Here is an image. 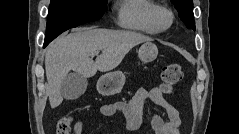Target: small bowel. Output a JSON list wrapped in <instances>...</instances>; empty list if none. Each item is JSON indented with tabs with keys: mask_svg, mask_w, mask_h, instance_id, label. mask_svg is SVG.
Returning a JSON list of instances; mask_svg holds the SVG:
<instances>
[{
	"mask_svg": "<svg viewBox=\"0 0 239 134\" xmlns=\"http://www.w3.org/2000/svg\"><path fill=\"white\" fill-rule=\"evenodd\" d=\"M146 101L153 102L162 107L166 112L165 118L157 114L150 116V124L154 134H179V111L165 98L163 90L159 87H153L149 90L140 88L128 102L115 101L104 104L100 107V112L105 116L122 113L126 119L127 128L131 131H137L144 125ZM82 133L83 122L78 120L74 125L73 134Z\"/></svg>",
	"mask_w": 239,
	"mask_h": 134,
	"instance_id": "obj_1",
	"label": "small bowel"
}]
</instances>
